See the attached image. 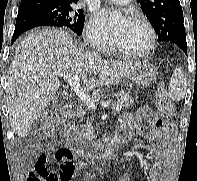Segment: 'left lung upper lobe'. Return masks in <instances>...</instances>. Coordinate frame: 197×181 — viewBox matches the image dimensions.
Masks as SVG:
<instances>
[{
  "label": "left lung upper lobe",
  "mask_w": 197,
  "mask_h": 181,
  "mask_svg": "<svg viewBox=\"0 0 197 181\" xmlns=\"http://www.w3.org/2000/svg\"><path fill=\"white\" fill-rule=\"evenodd\" d=\"M158 34V41L186 40L179 0H137Z\"/></svg>",
  "instance_id": "obj_1"
}]
</instances>
